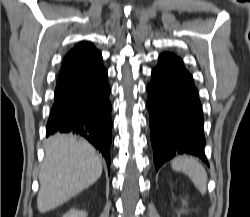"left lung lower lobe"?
Returning a JSON list of instances; mask_svg holds the SVG:
<instances>
[{
    "label": "left lung lower lobe",
    "mask_w": 250,
    "mask_h": 217,
    "mask_svg": "<svg viewBox=\"0 0 250 217\" xmlns=\"http://www.w3.org/2000/svg\"><path fill=\"white\" fill-rule=\"evenodd\" d=\"M151 144L156 171L180 154H191L207 165L204 117L191 74L173 53H162L147 86Z\"/></svg>",
    "instance_id": "left-lung-lower-lobe-1"
}]
</instances>
